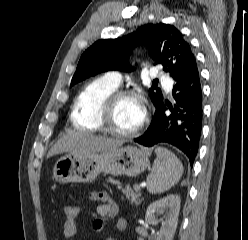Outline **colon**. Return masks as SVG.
<instances>
[{
    "instance_id": "1",
    "label": "colon",
    "mask_w": 248,
    "mask_h": 240,
    "mask_svg": "<svg viewBox=\"0 0 248 240\" xmlns=\"http://www.w3.org/2000/svg\"><path fill=\"white\" fill-rule=\"evenodd\" d=\"M80 208L76 204H67L63 208V214L65 219H73L76 218L79 214Z\"/></svg>"
}]
</instances>
